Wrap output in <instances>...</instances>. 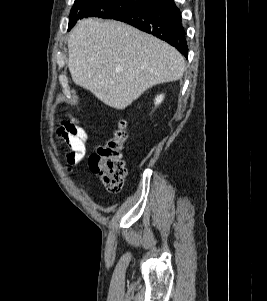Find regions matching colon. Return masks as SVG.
<instances>
[{
	"label": "colon",
	"instance_id": "5ec220e1",
	"mask_svg": "<svg viewBox=\"0 0 267 301\" xmlns=\"http://www.w3.org/2000/svg\"><path fill=\"white\" fill-rule=\"evenodd\" d=\"M127 137L126 122L121 121L112 137L89 157L90 169L100 176L105 188L111 193L120 192L124 184L126 166L123 149Z\"/></svg>",
	"mask_w": 267,
	"mask_h": 301
}]
</instances>
